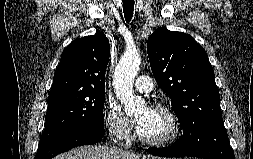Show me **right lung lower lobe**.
<instances>
[{
  "mask_svg": "<svg viewBox=\"0 0 253 159\" xmlns=\"http://www.w3.org/2000/svg\"><path fill=\"white\" fill-rule=\"evenodd\" d=\"M104 136L103 128L83 127L66 132L43 146H38L35 159H52L56 155L81 145L94 144Z\"/></svg>",
  "mask_w": 253,
  "mask_h": 159,
  "instance_id": "right-lung-lower-lobe-1",
  "label": "right lung lower lobe"
}]
</instances>
